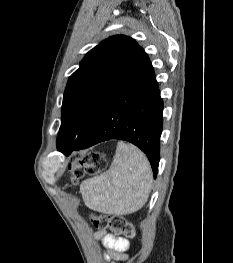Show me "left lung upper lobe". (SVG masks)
I'll list each match as a JSON object with an SVG mask.
<instances>
[{
  "instance_id": "obj_1",
  "label": "left lung upper lobe",
  "mask_w": 233,
  "mask_h": 263,
  "mask_svg": "<svg viewBox=\"0 0 233 263\" xmlns=\"http://www.w3.org/2000/svg\"><path fill=\"white\" fill-rule=\"evenodd\" d=\"M136 41L115 35L89 51L64 92L59 141L84 143L94 125L145 56Z\"/></svg>"
}]
</instances>
